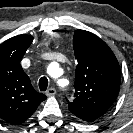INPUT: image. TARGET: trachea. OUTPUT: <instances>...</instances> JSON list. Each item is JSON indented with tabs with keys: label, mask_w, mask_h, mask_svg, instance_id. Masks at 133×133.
<instances>
[{
	"label": "trachea",
	"mask_w": 133,
	"mask_h": 133,
	"mask_svg": "<svg viewBox=\"0 0 133 133\" xmlns=\"http://www.w3.org/2000/svg\"><path fill=\"white\" fill-rule=\"evenodd\" d=\"M48 87V79L46 77H41L39 80L40 91H46Z\"/></svg>",
	"instance_id": "trachea-1"
}]
</instances>
